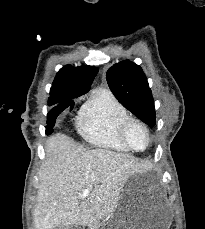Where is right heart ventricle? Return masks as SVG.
<instances>
[{
	"label": "right heart ventricle",
	"instance_id": "e07e8e85",
	"mask_svg": "<svg viewBox=\"0 0 205 229\" xmlns=\"http://www.w3.org/2000/svg\"><path fill=\"white\" fill-rule=\"evenodd\" d=\"M130 116L126 107L109 91L91 95L78 117V130L90 144L107 150L129 152L120 137L122 122Z\"/></svg>",
	"mask_w": 205,
	"mask_h": 229
}]
</instances>
